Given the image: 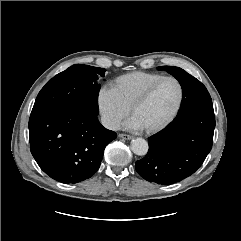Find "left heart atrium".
<instances>
[{"label": "left heart atrium", "mask_w": 241, "mask_h": 241, "mask_svg": "<svg viewBox=\"0 0 241 241\" xmlns=\"http://www.w3.org/2000/svg\"><path fill=\"white\" fill-rule=\"evenodd\" d=\"M125 126L126 128L133 130H140L144 128L134 116L126 122Z\"/></svg>", "instance_id": "39dd6f15"}]
</instances>
